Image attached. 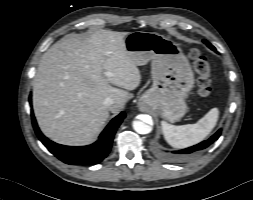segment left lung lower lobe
<instances>
[{"label":"left lung lower lobe","instance_id":"obj_1","mask_svg":"<svg viewBox=\"0 0 253 200\" xmlns=\"http://www.w3.org/2000/svg\"><path fill=\"white\" fill-rule=\"evenodd\" d=\"M221 134V130H218L214 135H212L209 139L204 140L200 142L199 144L189 147L187 149L177 151L174 153H179V154H185V155H193L196 154L199 151H202L206 149L208 146H210L214 141H216Z\"/></svg>","mask_w":253,"mask_h":200}]
</instances>
